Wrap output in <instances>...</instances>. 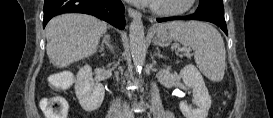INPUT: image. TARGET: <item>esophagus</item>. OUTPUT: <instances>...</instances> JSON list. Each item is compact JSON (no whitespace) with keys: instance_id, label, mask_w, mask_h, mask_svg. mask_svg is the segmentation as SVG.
Instances as JSON below:
<instances>
[{"instance_id":"34e87169","label":"esophagus","mask_w":273,"mask_h":118,"mask_svg":"<svg viewBox=\"0 0 273 118\" xmlns=\"http://www.w3.org/2000/svg\"><path fill=\"white\" fill-rule=\"evenodd\" d=\"M128 15L132 18H138V19L142 17V14L139 11L132 8H128Z\"/></svg>"}]
</instances>
